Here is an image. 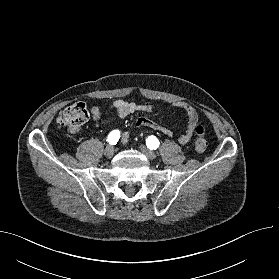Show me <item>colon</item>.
<instances>
[{
	"instance_id": "obj_1",
	"label": "colon",
	"mask_w": 279,
	"mask_h": 279,
	"mask_svg": "<svg viewBox=\"0 0 279 279\" xmlns=\"http://www.w3.org/2000/svg\"><path fill=\"white\" fill-rule=\"evenodd\" d=\"M89 112L84 103H75L65 108L58 116L57 122L61 128H67L70 131H77L88 120ZM195 148L199 152L206 150L208 146L206 138V129L203 125H197Z\"/></svg>"
}]
</instances>
